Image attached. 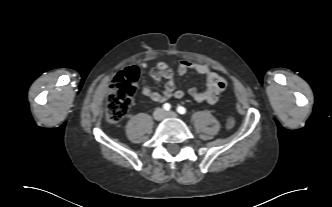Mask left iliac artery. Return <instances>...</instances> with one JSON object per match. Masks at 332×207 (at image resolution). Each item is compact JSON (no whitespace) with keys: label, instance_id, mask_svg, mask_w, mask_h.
<instances>
[{"label":"left iliac artery","instance_id":"obj_1","mask_svg":"<svg viewBox=\"0 0 332 207\" xmlns=\"http://www.w3.org/2000/svg\"><path fill=\"white\" fill-rule=\"evenodd\" d=\"M177 112L179 113V114H186V109L183 107V106H178L177 107Z\"/></svg>","mask_w":332,"mask_h":207}]
</instances>
